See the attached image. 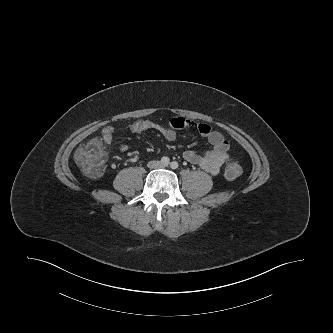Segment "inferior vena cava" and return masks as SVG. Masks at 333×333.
<instances>
[{
    "mask_svg": "<svg viewBox=\"0 0 333 333\" xmlns=\"http://www.w3.org/2000/svg\"><path fill=\"white\" fill-rule=\"evenodd\" d=\"M161 166L159 161H151L148 163L149 168H159Z\"/></svg>",
    "mask_w": 333,
    "mask_h": 333,
    "instance_id": "602c4592",
    "label": "inferior vena cava"
}]
</instances>
